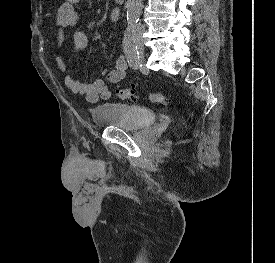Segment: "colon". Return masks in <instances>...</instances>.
Wrapping results in <instances>:
<instances>
[{
	"label": "colon",
	"mask_w": 275,
	"mask_h": 263,
	"mask_svg": "<svg viewBox=\"0 0 275 263\" xmlns=\"http://www.w3.org/2000/svg\"><path fill=\"white\" fill-rule=\"evenodd\" d=\"M116 96L123 101H133L137 99L138 94L135 88H119ZM145 96L150 102L159 105H168L171 102L169 97L159 93L147 92Z\"/></svg>",
	"instance_id": "colon-1"
}]
</instances>
